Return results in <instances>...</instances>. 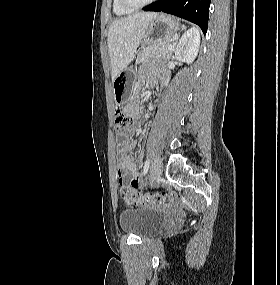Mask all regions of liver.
Listing matches in <instances>:
<instances>
[{
  "label": "liver",
  "mask_w": 280,
  "mask_h": 285,
  "mask_svg": "<svg viewBox=\"0 0 280 285\" xmlns=\"http://www.w3.org/2000/svg\"><path fill=\"white\" fill-rule=\"evenodd\" d=\"M157 13H135L112 22L108 31V47L112 82L127 67L142 42L146 30Z\"/></svg>",
  "instance_id": "obj_1"
}]
</instances>
